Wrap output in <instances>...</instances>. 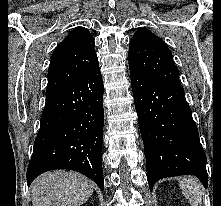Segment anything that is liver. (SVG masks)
I'll return each mask as SVG.
<instances>
[{
    "label": "liver",
    "instance_id": "obj_1",
    "mask_svg": "<svg viewBox=\"0 0 221 206\" xmlns=\"http://www.w3.org/2000/svg\"><path fill=\"white\" fill-rule=\"evenodd\" d=\"M93 190L94 183L79 173L53 171L32 183V206H80Z\"/></svg>",
    "mask_w": 221,
    "mask_h": 206
}]
</instances>
